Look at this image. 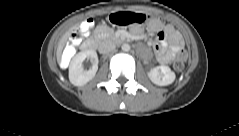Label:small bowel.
Wrapping results in <instances>:
<instances>
[{"label":"small bowel","instance_id":"small-bowel-1","mask_svg":"<svg viewBox=\"0 0 239 136\" xmlns=\"http://www.w3.org/2000/svg\"><path fill=\"white\" fill-rule=\"evenodd\" d=\"M148 28L152 31H159L157 33V42L154 44V50L157 61L161 64H170L175 61L177 55L181 52L182 41L180 35L173 30L170 25L164 26L159 20H151L148 24ZM164 29L170 36V46L167 47V40L165 33L161 31ZM133 35H140L142 33L141 28L131 30Z\"/></svg>","mask_w":239,"mask_h":136}]
</instances>
